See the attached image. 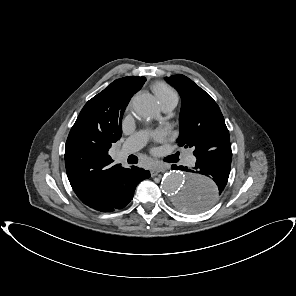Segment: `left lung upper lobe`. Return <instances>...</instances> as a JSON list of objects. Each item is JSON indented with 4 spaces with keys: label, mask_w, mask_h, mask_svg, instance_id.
<instances>
[{
    "label": "left lung upper lobe",
    "mask_w": 296,
    "mask_h": 296,
    "mask_svg": "<svg viewBox=\"0 0 296 296\" xmlns=\"http://www.w3.org/2000/svg\"><path fill=\"white\" fill-rule=\"evenodd\" d=\"M166 80L180 91L182 98L178 144L185 148L193 147L196 158L231 145L224 117L213 98L184 75H173ZM194 197L201 198L200 195ZM187 201L182 206L186 211Z\"/></svg>",
    "instance_id": "left-lung-upper-lobe-1"
}]
</instances>
